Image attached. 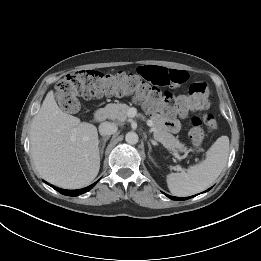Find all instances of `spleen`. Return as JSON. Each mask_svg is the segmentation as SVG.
Instances as JSON below:
<instances>
[{
	"instance_id": "spleen-1",
	"label": "spleen",
	"mask_w": 261,
	"mask_h": 261,
	"mask_svg": "<svg viewBox=\"0 0 261 261\" xmlns=\"http://www.w3.org/2000/svg\"><path fill=\"white\" fill-rule=\"evenodd\" d=\"M229 156V138L219 137L206 152L201 163L187 171L170 173L166 181L170 192L175 196H190L207 189L226 166Z\"/></svg>"
}]
</instances>
